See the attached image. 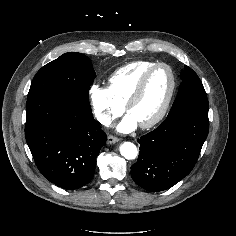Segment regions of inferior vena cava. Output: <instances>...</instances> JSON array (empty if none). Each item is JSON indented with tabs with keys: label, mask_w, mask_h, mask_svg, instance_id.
I'll list each match as a JSON object with an SVG mask.
<instances>
[{
	"label": "inferior vena cava",
	"mask_w": 236,
	"mask_h": 236,
	"mask_svg": "<svg viewBox=\"0 0 236 236\" xmlns=\"http://www.w3.org/2000/svg\"><path fill=\"white\" fill-rule=\"evenodd\" d=\"M96 117L97 120L105 126H109L111 124V118L108 115L97 114Z\"/></svg>",
	"instance_id": "602c4592"
}]
</instances>
